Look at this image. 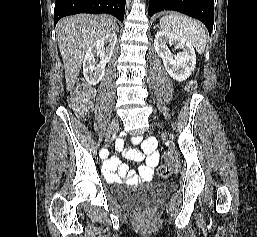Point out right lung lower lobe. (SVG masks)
Listing matches in <instances>:
<instances>
[{"instance_id":"right-lung-lower-lobe-1","label":"right lung lower lobe","mask_w":257,"mask_h":237,"mask_svg":"<svg viewBox=\"0 0 257 237\" xmlns=\"http://www.w3.org/2000/svg\"><path fill=\"white\" fill-rule=\"evenodd\" d=\"M125 2L126 0H56L54 21L56 24L62 17L78 13H107L123 22Z\"/></svg>"}]
</instances>
